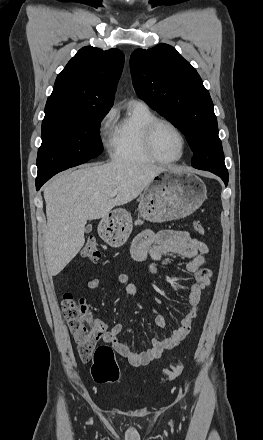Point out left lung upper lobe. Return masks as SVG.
I'll use <instances>...</instances> for the list:
<instances>
[{
  "mask_svg": "<svg viewBox=\"0 0 263 440\" xmlns=\"http://www.w3.org/2000/svg\"><path fill=\"white\" fill-rule=\"evenodd\" d=\"M138 96L185 134L192 166L227 172L213 102L195 70L170 45L135 50L130 57Z\"/></svg>",
  "mask_w": 263,
  "mask_h": 440,
  "instance_id": "left-lung-upper-lobe-1",
  "label": "left lung upper lobe"
}]
</instances>
